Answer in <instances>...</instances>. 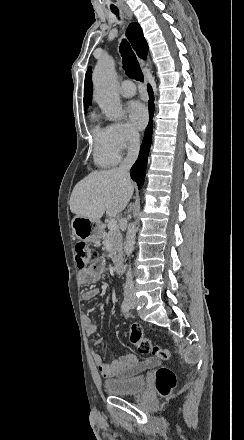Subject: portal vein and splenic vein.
<instances>
[{"label": "portal vein and splenic vein", "instance_id": "portal-vein-and-splenic-vein-1", "mask_svg": "<svg viewBox=\"0 0 244 440\" xmlns=\"http://www.w3.org/2000/svg\"><path fill=\"white\" fill-rule=\"evenodd\" d=\"M108 230H117V220L115 218H110L108 222Z\"/></svg>", "mask_w": 244, "mask_h": 440}]
</instances>
